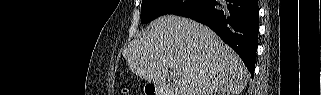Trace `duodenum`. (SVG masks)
Returning <instances> with one entry per match:
<instances>
[{
	"label": "duodenum",
	"instance_id": "1",
	"mask_svg": "<svg viewBox=\"0 0 321 95\" xmlns=\"http://www.w3.org/2000/svg\"><path fill=\"white\" fill-rule=\"evenodd\" d=\"M155 95H171L168 90L156 89Z\"/></svg>",
	"mask_w": 321,
	"mask_h": 95
}]
</instances>
